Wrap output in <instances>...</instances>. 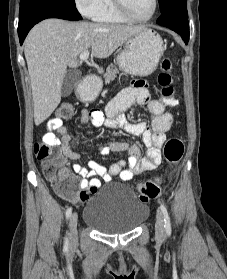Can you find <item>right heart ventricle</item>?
<instances>
[{"label":"right heart ventricle","instance_id":"obj_1","mask_svg":"<svg viewBox=\"0 0 227 279\" xmlns=\"http://www.w3.org/2000/svg\"><path fill=\"white\" fill-rule=\"evenodd\" d=\"M93 18L96 21L108 23H127L130 21L116 11L112 0H104L102 6L97 10Z\"/></svg>","mask_w":227,"mask_h":279}]
</instances>
